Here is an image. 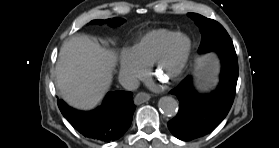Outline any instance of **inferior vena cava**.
Returning a JSON list of instances; mask_svg holds the SVG:
<instances>
[{"label": "inferior vena cava", "mask_w": 279, "mask_h": 148, "mask_svg": "<svg viewBox=\"0 0 279 148\" xmlns=\"http://www.w3.org/2000/svg\"><path fill=\"white\" fill-rule=\"evenodd\" d=\"M119 82L126 90L129 91L138 89L140 85L138 79L135 76L128 73H120Z\"/></svg>", "instance_id": "602c4592"}]
</instances>
